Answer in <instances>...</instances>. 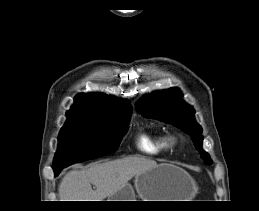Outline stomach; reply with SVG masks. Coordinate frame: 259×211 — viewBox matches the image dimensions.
<instances>
[{"label": "stomach", "mask_w": 259, "mask_h": 211, "mask_svg": "<svg viewBox=\"0 0 259 211\" xmlns=\"http://www.w3.org/2000/svg\"><path fill=\"white\" fill-rule=\"evenodd\" d=\"M135 190L142 201H187L194 194V182L179 167L160 164L137 174L134 187L127 183L108 201H137Z\"/></svg>", "instance_id": "1"}]
</instances>
